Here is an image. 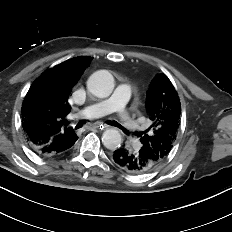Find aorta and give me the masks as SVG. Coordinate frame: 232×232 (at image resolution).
Listing matches in <instances>:
<instances>
[{
  "instance_id": "1",
  "label": "aorta",
  "mask_w": 232,
  "mask_h": 232,
  "mask_svg": "<svg viewBox=\"0 0 232 232\" xmlns=\"http://www.w3.org/2000/svg\"><path fill=\"white\" fill-rule=\"evenodd\" d=\"M90 93L99 98L110 96L114 89L113 76L106 70L95 72L87 82ZM102 143L109 150H116L122 143L121 134L116 129H107L102 135Z\"/></svg>"
}]
</instances>
